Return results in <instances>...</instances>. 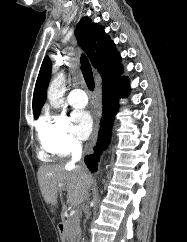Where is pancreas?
<instances>
[{"mask_svg": "<svg viewBox=\"0 0 187 242\" xmlns=\"http://www.w3.org/2000/svg\"><path fill=\"white\" fill-rule=\"evenodd\" d=\"M81 213L77 212L72 217L68 218L65 225V234L67 242H79L81 235L80 227Z\"/></svg>", "mask_w": 187, "mask_h": 242, "instance_id": "cf45deb5", "label": "pancreas"}]
</instances>
